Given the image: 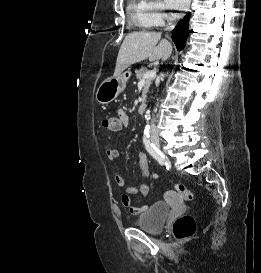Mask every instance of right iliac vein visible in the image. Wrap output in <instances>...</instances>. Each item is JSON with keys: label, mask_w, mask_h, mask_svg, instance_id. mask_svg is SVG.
I'll return each mask as SVG.
<instances>
[{"label": "right iliac vein", "mask_w": 261, "mask_h": 273, "mask_svg": "<svg viewBox=\"0 0 261 273\" xmlns=\"http://www.w3.org/2000/svg\"><path fill=\"white\" fill-rule=\"evenodd\" d=\"M152 142H153V144L157 147V149H159L160 151H162V149H161V144H160V141H159V138H158V137L154 136V137L152 138Z\"/></svg>", "instance_id": "obj_1"}]
</instances>
